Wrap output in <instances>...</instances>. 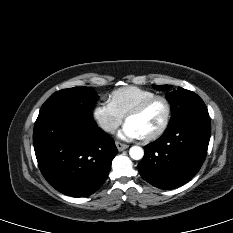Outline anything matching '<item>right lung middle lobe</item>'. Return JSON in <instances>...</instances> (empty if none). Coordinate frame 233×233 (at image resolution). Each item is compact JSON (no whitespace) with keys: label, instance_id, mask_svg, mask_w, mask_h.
Masks as SVG:
<instances>
[{"label":"right lung middle lobe","instance_id":"obj_1","mask_svg":"<svg viewBox=\"0 0 233 233\" xmlns=\"http://www.w3.org/2000/svg\"><path fill=\"white\" fill-rule=\"evenodd\" d=\"M98 99L95 90L89 87L60 90L46 100L38 116L54 112H69L93 119L92 107Z\"/></svg>","mask_w":233,"mask_h":233}]
</instances>
